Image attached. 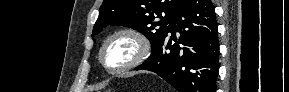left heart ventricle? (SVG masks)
Here are the masks:
<instances>
[{
  "label": "left heart ventricle",
  "instance_id": "b2bd125f",
  "mask_svg": "<svg viewBox=\"0 0 289 92\" xmlns=\"http://www.w3.org/2000/svg\"><path fill=\"white\" fill-rule=\"evenodd\" d=\"M135 50V44L130 38L118 37L108 45L105 51V61L112 68L122 66L132 59Z\"/></svg>",
  "mask_w": 289,
  "mask_h": 92
}]
</instances>
